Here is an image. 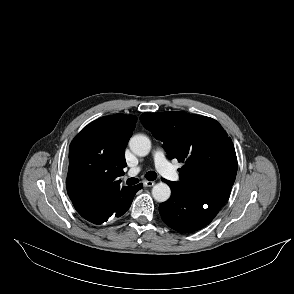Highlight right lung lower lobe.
<instances>
[{"mask_svg": "<svg viewBox=\"0 0 294 294\" xmlns=\"http://www.w3.org/2000/svg\"><path fill=\"white\" fill-rule=\"evenodd\" d=\"M141 188L142 184L128 187L108 205L100 207L93 212H84L79 214L84 219L94 224H102L103 222H106L110 217H120L129 209L134 195Z\"/></svg>", "mask_w": 294, "mask_h": 294, "instance_id": "1", "label": "right lung lower lobe"}]
</instances>
